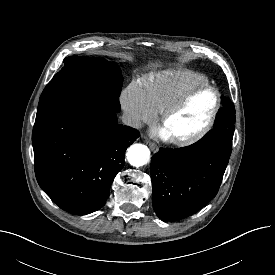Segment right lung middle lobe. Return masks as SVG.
<instances>
[{
  "label": "right lung middle lobe",
  "instance_id": "1",
  "mask_svg": "<svg viewBox=\"0 0 275 275\" xmlns=\"http://www.w3.org/2000/svg\"><path fill=\"white\" fill-rule=\"evenodd\" d=\"M123 77L118 65L91 57L71 56L43 90L35 122L55 111L86 103L120 111Z\"/></svg>",
  "mask_w": 275,
  "mask_h": 275
}]
</instances>
